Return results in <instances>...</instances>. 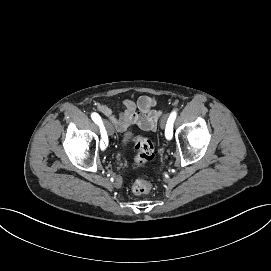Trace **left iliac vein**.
Wrapping results in <instances>:
<instances>
[{
	"label": "left iliac vein",
	"mask_w": 271,
	"mask_h": 271,
	"mask_svg": "<svg viewBox=\"0 0 271 271\" xmlns=\"http://www.w3.org/2000/svg\"><path fill=\"white\" fill-rule=\"evenodd\" d=\"M166 118H167V116H164V117L161 119V122H160L161 128H164V127L166 126Z\"/></svg>",
	"instance_id": "left-iliac-vein-1"
}]
</instances>
